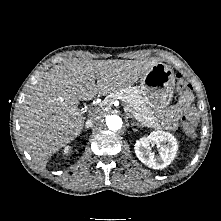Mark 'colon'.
Segmentation results:
<instances>
[{"label": "colon", "instance_id": "obj_1", "mask_svg": "<svg viewBox=\"0 0 221 221\" xmlns=\"http://www.w3.org/2000/svg\"><path fill=\"white\" fill-rule=\"evenodd\" d=\"M176 85L182 96L186 98L191 97V87L184 81L182 75L179 73L176 74ZM195 125L196 120L193 114L189 113L182 118V128L188 136L193 137L195 135Z\"/></svg>", "mask_w": 221, "mask_h": 221}]
</instances>
